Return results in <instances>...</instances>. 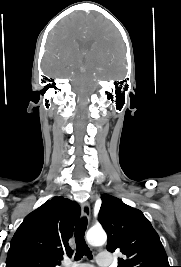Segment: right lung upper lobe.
Segmentation results:
<instances>
[{"label":"right lung upper lobe","mask_w":181,"mask_h":267,"mask_svg":"<svg viewBox=\"0 0 181 267\" xmlns=\"http://www.w3.org/2000/svg\"><path fill=\"white\" fill-rule=\"evenodd\" d=\"M80 206L61 196L53 197L25 217L11 240L6 267H55L80 216Z\"/></svg>","instance_id":"cb5924a9"}]
</instances>
